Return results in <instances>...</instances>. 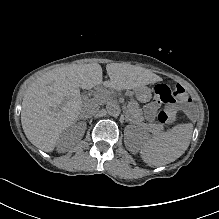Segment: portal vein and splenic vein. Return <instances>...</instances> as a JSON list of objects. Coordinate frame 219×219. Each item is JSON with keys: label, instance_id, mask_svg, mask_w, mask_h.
<instances>
[{"label": "portal vein and splenic vein", "instance_id": "obj_1", "mask_svg": "<svg viewBox=\"0 0 219 219\" xmlns=\"http://www.w3.org/2000/svg\"><path fill=\"white\" fill-rule=\"evenodd\" d=\"M102 93H103V89H101V90L98 91V94L102 95ZM112 93H113V92H110V94H109V99H111V98L113 97V94H112Z\"/></svg>", "mask_w": 219, "mask_h": 219}]
</instances>
